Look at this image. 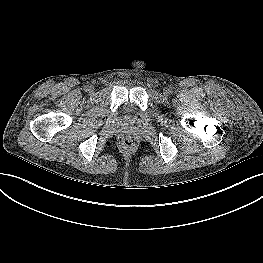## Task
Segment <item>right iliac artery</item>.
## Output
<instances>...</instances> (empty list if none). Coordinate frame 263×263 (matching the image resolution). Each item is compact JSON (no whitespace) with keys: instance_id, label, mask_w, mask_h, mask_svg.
<instances>
[{"instance_id":"right-iliac-artery-1","label":"right iliac artery","mask_w":263,"mask_h":263,"mask_svg":"<svg viewBox=\"0 0 263 263\" xmlns=\"http://www.w3.org/2000/svg\"><path fill=\"white\" fill-rule=\"evenodd\" d=\"M86 91H89V86H85Z\"/></svg>"}]
</instances>
